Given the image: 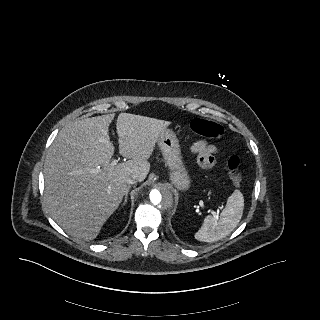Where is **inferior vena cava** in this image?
<instances>
[{
	"label": "inferior vena cava",
	"instance_id": "1",
	"mask_svg": "<svg viewBox=\"0 0 320 320\" xmlns=\"http://www.w3.org/2000/svg\"><path fill=\"white\" fill-rule=\"evenodd\" d=\"M137 181H138V179H137V176H136V175L129 176V177L126 179V183H127V184H135Z\"/></svg>",
	"mask_w": 320,
	"mask_h": 320
}]
</instances>
